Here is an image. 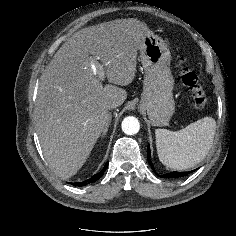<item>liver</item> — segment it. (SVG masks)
Wrapping results in <instances>:
<instances>
[{"mask_svg":"<svg viewBox=\"0 0 236 236\" xmlns=\"http://www.w3.org/2000/svg\"><path fill=\"white\" fill-rule=\"evenodd\" d=\"M137 19H117L84 28L60 47L38 89L37 133L46 161L61 179L74 176L111 120L107 105L124 103L143 44ZM144 29V27H143ZM89 55H92L89 57ZM100 60L110 83L103 86L90 60Z\"/></svg>","mask_w":236,"mask_h":236,"instance_id":"1","label":"liver"}]
</instances>
